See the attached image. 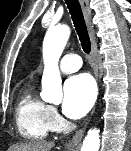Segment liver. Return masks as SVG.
Wrapping results in <instances>:
<instances>
[{
	"label": "liver",
	"mask_w": 131,
	"mask_h": 151,
	"mask_svg": "<svg viewBox=\"0 0 131 151\" xmlns=\"http://www.w3.org/2000/svg\"><path fill=\"white\" fill-rule=\"evenodd\" d=\"M53 147V142H30L10 147L9 151H50Z\"/></svg>",
	"instance_id": "liver-1"
}]
</instances>
